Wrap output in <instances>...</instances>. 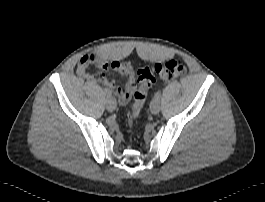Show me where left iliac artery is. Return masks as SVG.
Wrapping results in <instances>:
<instances>
[{
  "instance_id": "left-iliac-artery-1",
  "label": "left iliac artery",
  "mask_w": 265,
  "mask_h": 202,
  "mask_svg": "<svg viewBox=\"0 0 265 202\" xmlns=\"http://www.w3.org/2000/svg\"><path fill=\"white\" fill-rule=\"evenodd\" d=\"M161 97V94L159 92L155 93L154 98L159 100Z\"/></svg>"
}]
</instances>
